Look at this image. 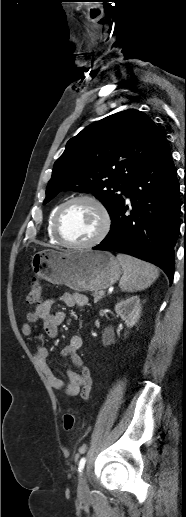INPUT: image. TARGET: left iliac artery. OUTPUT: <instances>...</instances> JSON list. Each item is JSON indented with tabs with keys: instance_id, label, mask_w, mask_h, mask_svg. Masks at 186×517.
I'll return each instance as SVG.
<instances>
[{
	"instance_id": "44dca946",
	"label": "left iliac artery",
	"mask_w": 186,
	"mask_h": 517,
	"mask_svg": "<svg viewBox=\"0 0 186 517\" xmlns=\"http://www.w3.org/2000/svg\"><path fill=\"white\" fill-rule=\"evenodd\" d=\"M85 463H86L85 457L81 458L80 461H79V467H78V471L80 473L83 471Z\"/></svg>"
}]
</instances>
